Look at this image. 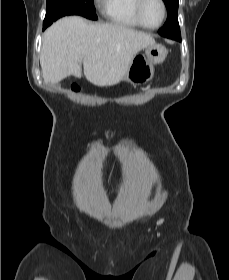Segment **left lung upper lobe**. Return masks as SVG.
<instances>
[{
	"label": "left lung upper lobe",
	"instance_id": "5c2ea615",
	"mask_svg": "<svg viewBox=\"0 0 229 280\" xmlns=\"http://www.w3.org/2000/svg\"><path fill=\"white\" fill-rule=\"evenodd\" d=\"M167 8V21L158 33L164 37L177 39L181 37L178 23V0H163Z\"/></svg>",
	"mask_w": 229,
	"mask_h": 280
}]
</instances>
